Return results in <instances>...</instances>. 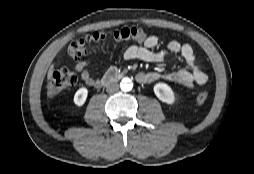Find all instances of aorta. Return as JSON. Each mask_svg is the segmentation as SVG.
Returning <instances> with one entry per match:
<instances>
[{
    "label": "aorta",
    "instance_id": "obj_1",
    "mask_svg": "<svg viewBox=\"0 0 254 174\" xmlns=\"http://www.w3.org/2000/svg\"><path fill=\"white\" fill-rule=\"evenodd\" d=\"M133 87V83L129 78H123L120 82V88L122 91H130Z\"/></svg>",
    "mask_w": 254,
    "mask_h": 174
}]
</instances>
